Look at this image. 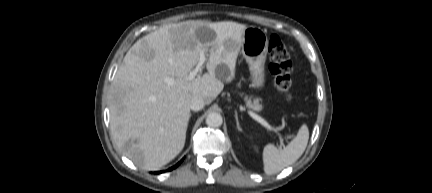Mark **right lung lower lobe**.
Masks as SVG:
<instances>
[{
  "label": "right lung lower lobe",
  "instance_id": "right-lung-lower-lobe-1",
  "mask_svg": "<svg viewBox=\"0 0 432 193\" xmlns=\"http://www.w3.org/2000/svg\"><path fill=\"white\" fill-rule=\"evenodd\" d=\"M182 161L183 160H181L180 162H178L175 166L171 167L169 170H172V169L176 168L177 166H179ZM162 172H164V171H159V172H156V173H162Z\"/></svg>",
  "mask_w": 432,
  "mask_h": 193
}]
</instances>
